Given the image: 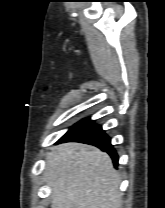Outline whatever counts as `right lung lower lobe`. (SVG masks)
I'll use <instances>...</instances> for the list:
<instances>
[{"label":"right lung lower lobe","mask_w":165,"mask_h":208,"mask_svg":"<svg viewBox=\"0 0 165 208\" xmlns=\"http://www.w3.org/2000/svg\"><path fill=\"white\" fill-rule=\"evenodd\" d=\"M80 142L94 145L102 151L107 152L113 160L114 166H118V155L111 145L110 138L102 130V127L94 124L89 118L83 119L74 126L58 141Z\"/></svg>","instance_id":"right-lung-lower-lobe-1"}]
</instances>
